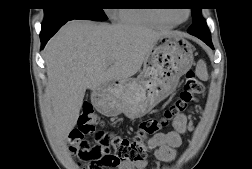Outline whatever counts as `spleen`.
<instances>
[{"label": "spleen", "mask_w": 252, "mask_h": 169, "mask_svg": "<svg viewBox=\"0 0 252 169\" xmlns=\"http://www.w3.org/2000/svg\"><path fill=\"white\" fill-rule=\"evenodd\" d=\"M196 73L197 76L203 80V81H207L208 80V72H207V67H206V63L203 60H200L197 64L196 67Z\"/></svg>", "instance_id": "obj_1"}]
</instances>
